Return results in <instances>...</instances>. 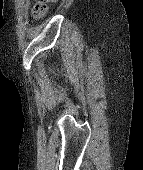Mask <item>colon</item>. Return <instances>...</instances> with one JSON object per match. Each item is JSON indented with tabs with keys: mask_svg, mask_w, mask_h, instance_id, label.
<instances>
[{
	"mask_svg": "<svg viewBox=\"0 0 143 170\" xmlns=\"http://www.w3.org/2000/svg\"><path fill=\"white\" fill-rule=\"evenodd\" d=\"M55 1L56 0H42V1H40L35 7V10H34L35 16L36 17L43 16L48 9V4L53 3Z\"/></svg>",
	"mask_w": 143,
	"mask_h": 170,
	"instance_id": "colon-1",
	"label": "colon"
}]
</instances>
